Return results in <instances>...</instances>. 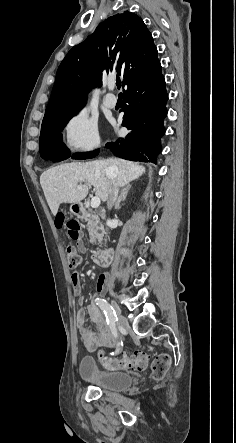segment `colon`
I'll return each instance as SVG.
<instances>
[{
    "label": "colon",
    "mask_w": 236,
    "mask_h": 443,
    "mask_svg": "<svg viewBox=\"0 0 236 443\" xmlns=\"http://www.w3.org/2000/svg\"><path fill=\"white\" fill-rule=\"evenodd\" d=\"M60 225H64L67 235L71 240H77L80 236V224L78 221H66L65 217H59ZM66 257L71 267L77 266L81 262V255L76 248L68 246ZM72 279L76 281L74 273ZM100 361L105 368L122 370H144L148 364V357L145 352L137 351L132 354H122L116 357H107L103 352L99 353ZM170 364V359L166 355L158 356L152 363V371L155 379H162L166 374Z\"/></svg>",
    "instance_id": "1"
}]
</instances>
